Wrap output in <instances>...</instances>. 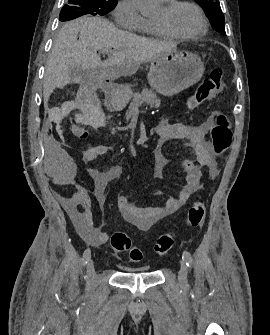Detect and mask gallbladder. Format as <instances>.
I'll use <instances>...</instances> for the list:
<instances>
[{"mask_svg": "<svg viewBox=\"0 0 270 335\" xmlns=\"http://www.w3.org/2000/svg\"><path fill=\"white\" fill-rule=\"evenodd\" d=\"M83 70L79 68V66H75V68H71L70 70V78L72 82H79L80 78H82Z\"/></svg>", "mask_w": 270, "mask_h": 335, "instance_id": "1", "label": "gallbladder"}]
</instances>
